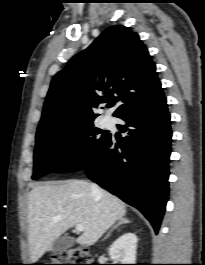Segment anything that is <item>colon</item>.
Masks as SVG:
<instances>
[{"label":"colon","instance_id":"1","mask_svg":"<svg viewBox=\"0 0 205 265\" xmlns=\"http://www.w3.org/2000/svg\"><path fill=\"white\" fill-rule=\"evenodd\" d=\"M89 250L84 246L60 251L55 254L51 262L46 265H92Z\"/></svg>","mask_w":205,"mask_h":265}]
</instances>
